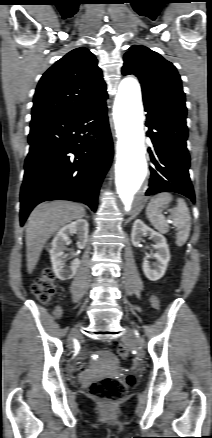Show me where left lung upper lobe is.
I'll return each instance as SVG.
<instances>
[{"mask_svg": "<svg viewBox=\"0 0 212 438\" xmlns=\"http://www.w3.org/2000/svg\"><path fill=\"white\" fill-rule=\"evenodd\" d=\"M129 49L124 55L122 73L139 79L144 104L186 116L185 94L175 66L145 46Z\"/></svg>", "mask_w": 212, "mask_h": 438, "instance_id": "obj_1", "label": "left lung upper lobe"}]
</instances>
